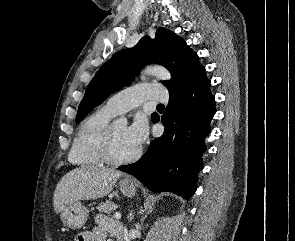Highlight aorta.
Wrapping results in <instances>:
<instances>
[{
    "instance_id": "1",
    "label": "aorta",
    "mask_w": 295,
    "mask_h": 241,
    "mask_svg": "<svg viewBox=\"0 0 295 241\" xmlns=\"http://www.w3.org/2000/svg\"><path fill=\"white\" fill-rule=\"evenodd\" d=\"M143 73L148 76H154L161 80H170L171 74L170 72L161 66H148L143 70ZM119 122L125 123L127 119L125 117H120L118 119Z\"/></svg>"
}]
</instances>
